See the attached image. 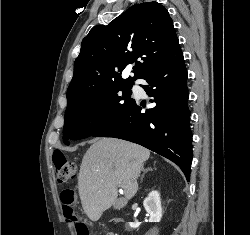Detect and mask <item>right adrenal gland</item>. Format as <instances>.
Returning <instances> with one entry per match:
<instances>
[{
  "instance_id": "right-adrenal-gland-1",
  "label": "right adrenal gland",
  "mask_w": 250,
  "mask_h": 235,
  "mask_svg": "<svg viewBox=\"0 0 250 235\" xmlns=\"http://www.w3.org/2000/svg\"><path fill=\"white\" fill-rule=\"evenodd\" d=\"M153 169L151 168V167H148V168H146V169H144L143 170V174H142V176H141V182H142V180H143V178H144V175L148 172V171H152Z\"/></svg>"
}]
</instances>
